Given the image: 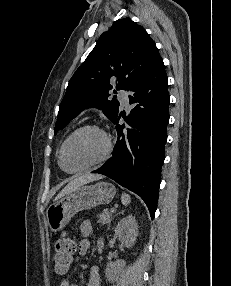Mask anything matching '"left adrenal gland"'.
Masks as SVG:
<instances>
[{"instance_id": "obj_1", "label": "left adrenal gland", "mask_w": 231, "mask_h": 286, "mask_svg": "<svg viewBox=\"0 0 231 286\" xmlns=\"http://www.w3.org/2000/svg\"><path fill=\"white\" fill-rule=\"evenodd\" d=\"M122 213H124V210H122L121 212H119L118 214H122ZM118 214H116V215H118ZM109 225H110V223H109Z\"/></svg>"}]
</instances>
